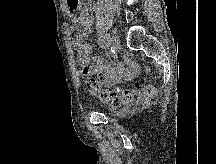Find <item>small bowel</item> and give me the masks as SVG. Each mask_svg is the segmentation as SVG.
I'll use <instances>...</instances> for the list:
<instances>
[{
	"mask_svg": "<svg viewBox=\"0 0 216 164\" xmlns=\"http://www.w3.org/2000/svg\"><path fill=\"white\" fill-rule=\"evenodd\" d=\"M81 27L80 32L76 31L77 27ZM92 20L86 8L78 16L72 19L73 43L79 48L77 54V64L86 70L90 75L96 76L97 79L104 85L112 86L121 78L130 79L137 73L136 66L132 65L125 68L122 65L116 64L111 67L110 64L100 56H92V47L84 41L86 35L91 32Z\"/></svg>",
	"mask_w": 216,
	"mask_h": 164,
	"instance_id": "1",
	"label": "small bowel"
}]
</instances>
